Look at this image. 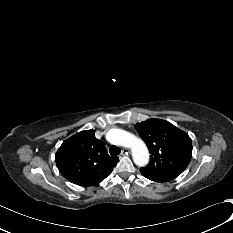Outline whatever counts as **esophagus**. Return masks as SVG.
Wrapping results in <instances>:
<instances>
[{"label": "esophagus", "mask_w": 233, "mask_h": 233, "mask_svg": "<svg viewBox=\"0 0 233 233\" xmlns=\"http://www.w3.org/2000/svg\"><path fill=\"white\" fill-rule=\"evenodd\" d=\"M130 153V150L125 148L122 150L121 155H128Z\"/></svg>", "instance_id": "34e87169"}]
</instances>
